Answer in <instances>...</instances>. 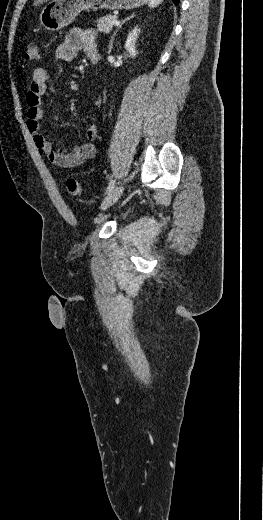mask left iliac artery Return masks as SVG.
I'll return each mask as SVG.
<instances>
[{"label": "left iliac artery", "instance_id": "obj_1", "mask_svg": "<svg viewBox=\"0 0 263 520\" xmlns=\"http://www.w3.org/2000/svg\"><path fill=\"white\" fill-rule=\"evenodd\" d=\"M114 186H115V180L112 179V180L110 181V183H109L107 189H106V193L110 192V191L114 188Z\"/></svg>", "mask_w": 263, "mask_h": 520}]
</instances>
